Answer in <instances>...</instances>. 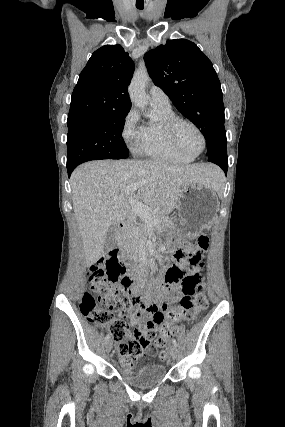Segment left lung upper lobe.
Segmentation results:
<instances>
[{"label":"left lung upper lobe","instance_id":"1","mask_svg":"<svg viewBox=\"0 0 285 427\" xmlns=\"http://www.w3.org/2000/svg\"><path fill=\"white\" fill-rule=\"evenodd\" d=\"M144 60L154 84L204 135L207 156L227 144L221 84L211 61L186 39L168 40Z\"/></svg>","mask_w":285,"mask_h":427}]
</instances>
